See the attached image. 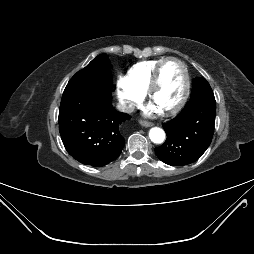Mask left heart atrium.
<instances>
[{"label":"left heart atrium","mask_w":254,"mask_h":254,"mask_svg":"<svg viewBox=\"0 0 254 254\" xmlns=\"http://www.w3.org/2000/svg\"><path fill=\"white\" fill-rule=\"evenodd\" d=\"M157 109L154 107V106H151L150 108H149V111L150 112H155Z\"/></svg>","instance_id":"1"}]
</instances>
